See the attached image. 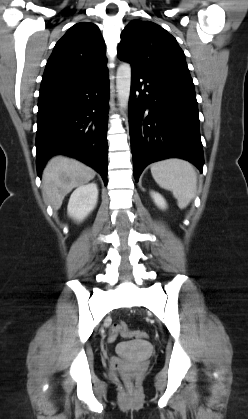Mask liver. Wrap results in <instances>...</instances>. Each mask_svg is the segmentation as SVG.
I'll return each mask as SVG.
<instances>
[{
	"label": "liver",
	"mask_w": 248,
	"mask_h": 419,
	"mask_svg": "<svg viewBox=\"0 0 248 419\" xmlns=\"http://www.w3.org/2000/svg\"><path fill=\"white\" fill-rule=\"evenodd\" d=\"M95 174L92 168L76 159L65 156L51 158L42 173L44 201L59 209L73 188L89 182Z\"/></svg>",
	"instance_id": "6515ba94"
}]
</instances>
